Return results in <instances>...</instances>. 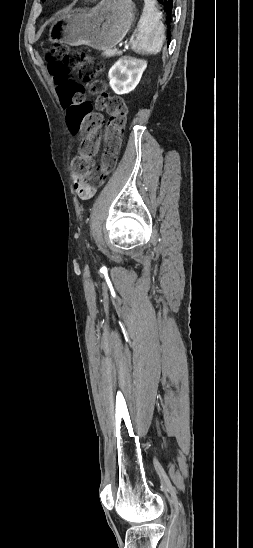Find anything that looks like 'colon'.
Here are the masks:
<instances>
[{
  "instance_id": "5ec220e1",
  "label": "colon",
  "mask_w": 253,
  "mask_h": 548,
  "mask_svg": "<svg viewBox=\"0 0 253 548\" xmlns=\"http://www.w3.org/2000/svg\"><path fill=\"white\" fill-rule=\"evenodd\" d=\"M47 60L69 127L72 132L83 134L72 162L73 171L89 185L101 186L116 166L126 123V104L121 97L109 94L104 82L96 79L100 65L85 52L57 44L48 52ZM69 72L75 73L86 86L75 83ZM87 90L95 95L94 106L85 99ZM102 111L109 119L104 130V151L100 163L95 165L103 127Z\"/></svg>"
}]
</instances>
